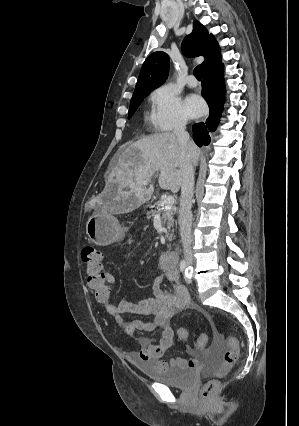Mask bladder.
<instances>
[{
  "mask_svg": "<svg viewBox=\"0 0 299 426\" xmlns=\"http://www.w3.org/2000/svg\"><path fill=\"white\" fill-rule=\"evenodd\" d=\"M133 362L138 363L139 369L147 378L178 389L186 390L191 388L197 379L196 372L190 368L167 367L159 369L147 362Z\"/></svg>",
  "mask_w": 299,
  "mask_h": 426,
  "instance_id": "bladder-1",
  "label": "bladder"
}]
</instances>
